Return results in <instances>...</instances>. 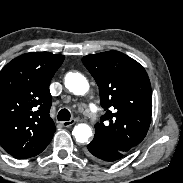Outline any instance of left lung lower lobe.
<instances>
[{"label": "left lung lower lobe", "mask_w": 183, "mask_h": 183, "mask_svg": "<svg viewBox=\"0 0 183 183\" xmlns=\"http://www.w3.org/2000/svg\"><path fill=\"white\" fill-rule=\"evenodd\" d=\"M86 155L100 163H111L125 156L126 153L103 143L97 137L87 145Z\"/></svg>", "instance_id": "0a47b994"}]
</instances>
